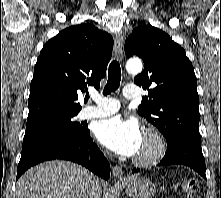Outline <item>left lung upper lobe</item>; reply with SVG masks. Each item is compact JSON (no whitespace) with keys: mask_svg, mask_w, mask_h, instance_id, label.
I'll return each instance as SVG.
<instances>
[{"mask_svg":"<svg viewBox=\"0 0 221 198\" xmlns=\"http://www.w3.org/2000/svg\"><path fill=\"white\" fill-rule=\"evenodd\" d=\"M126 56H139L144 70L134 83L148 90L138 114L155 125L167 143L201 142L199 96L192 63L184 49L162 30L151 25L136 27L125 42Z\"/></svg>","mask_w":221,"mask_h":198,"instance_id":"obj_1","label":"left lung upper lobe"}]
</instances>
